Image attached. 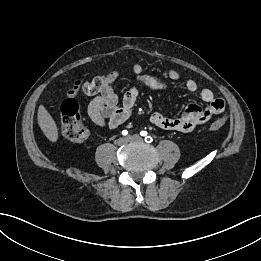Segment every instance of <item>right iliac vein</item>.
Listing matches in <instances>:
<instances>
[{"instance_id": "obj_1", "label": "right iliac vein", "mask_w": 261, "mask_h": 261, "mask_svg": "<svg viewBox=\"0 0 261 261\" xmlns=\"http://www.w3.org/2000/svg\"><path fill=\"white\" fill-rule=\"evenodd\" d=\"M126 142H127V139H126V138H123V137H121V138H119V139L117 140V144H118V145H124Z\"/></svg>"}]
</instances>
